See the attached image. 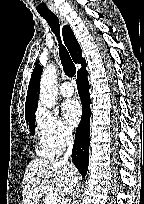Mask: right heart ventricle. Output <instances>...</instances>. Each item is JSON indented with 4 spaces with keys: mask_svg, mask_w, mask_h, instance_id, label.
Instances as JSON below:
<instances>
[{
    "mask_svg": "<svg viewBox=\"0 0 144 204\" xmlns=\"http://www.w3.org/2000/svg\"><path fill=\"white\" fill-rule=\"evenodd\" d=\"M37 153L41 156V157H45V158H51L54 155H56L57 153L55 151H53L51 148H49L48 146H46L40 139L38 146H37Z\"/></svg>",
    "mask_w": 144,
    "mask_h": 204,
    "instance_id": "1",
    "label": "right heart ventricle"
}]
</instances>
